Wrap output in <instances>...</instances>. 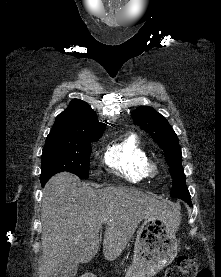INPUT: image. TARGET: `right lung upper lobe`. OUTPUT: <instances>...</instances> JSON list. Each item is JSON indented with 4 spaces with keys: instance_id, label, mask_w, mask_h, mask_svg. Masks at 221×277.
Here are the masks:
<instances>
[{
    "instance_id": "1",
    "label": "right lung upper lobe",
    "mask_w": 221,
    "mask_h": 277,
    "mask_svg": "<svg viewBox=\"0 0 221 277\" xmlns=\"http://www.w3.org/2000/svg\"><path fill=\"white\" fill-rule=\"evenodd\" d=\"M104 129L105 125L97 121L92 108L86 102L74 99L56 117L50 134L86 135L102 133Z\"/></svg>"
}]
</instances>
